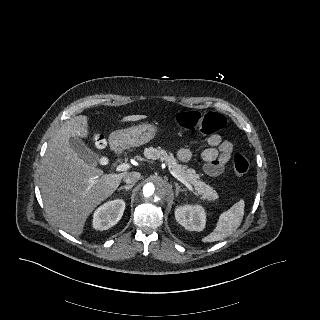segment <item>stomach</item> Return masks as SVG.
I'll use <instances>...</instances> for the list:
<instances>
[{"label": "stomach", "instance_id": "1", "mask_svg": "<svg viewBox=\"0 0 320 320\" xmlns=\"http://www.w3.org/2000/svg\"><path fill=\"white\" fill-rule=\"evenodd\" d=\"M157 133L156 126L144 123L112 132L110 141L116 147L125 149L144 145L154 139Z\"/></svg>", "mask_w": 320, "mask_h": 320}]
</instances>
